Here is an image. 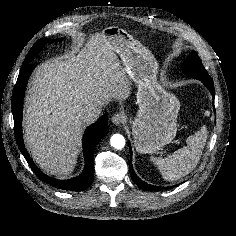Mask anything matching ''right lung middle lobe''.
I'll return each mask as SVG.
<instances>
[{"mask_svg": "<svg viewBox=\"0 0 236 236\" xmlns=\"http://www.w3.org/2000/svg\"><path fill=\"white\" fill-rule=\"evenodd\" d=\"M62 39H56L53 40L54 42L61 41ZM47 42V39H39L33 47L30 49L29 53L27 54L24 63L22 66H25L30 63V60L33 58V56L37 55L42 46Z\"/></svg>", "mask_w": 236, "mask_h": 236, "instance_id": "1", "label": "right lung middle lobe"}]
</instances>
